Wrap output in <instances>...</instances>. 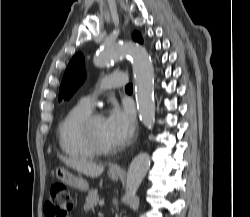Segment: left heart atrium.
<instances>
[{
    "instance_id": "39dd6f15",
    "label": "left heart atrium",
    "mask_w": 250,
    "mask_h": 217,
    "mask_svg": "<svg viewBox=\"0 0 250 217\" xmlns=\"http://www.w3.org/2000/svg\"><path fill=\"white\" fill-rule=\"evenodd\" d=\"M106 123L116 145H123L134 132L135 116L130 107L121 108L114 105L106 118Z\"/></svg>"
}]
</instances>
